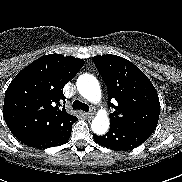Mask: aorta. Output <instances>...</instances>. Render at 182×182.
Returning <instances> with one entry per match:
<instances>
[{"mask_svg": "<svg viewBox=\"0 0 182 182\" xmlns=\"http://www.w3.org/2000/svg\"><path fill=\"white\" fill-rule=\"evenodd\" d=\"M77 89L88 101L98 103L101 100V89L98 80L91 74H82L78 77ZM109 118L105 111L98 112L91 124L92 131L97 135H103L108 131Z\"/></svg>", "mask_w": 182, "mask_h": 182, "instance_id": "762f6f07", "label": "aorta"}]
</instances>
